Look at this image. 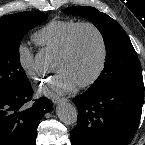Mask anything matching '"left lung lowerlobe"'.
I'll list each match as a JSON object with an SVG mask.
<instances>
[{
	"label": "left lung lower lobe",
	"mask_w": 145,
	"mask_h": 145,
	"mask_svg": "<svg viewBox=\"0 0 145 145\" xmlns=\"http://www.w3.org/2000/svg\"><path fill=\"white\" fill-rule=\"evenodd\" d=\"M143 99V81L86 90L76 96L78 123L70 133L72 145L130 144L140 122Z\"/></svg>",
	"instance_id": "obj_1"
}]
</instances>
